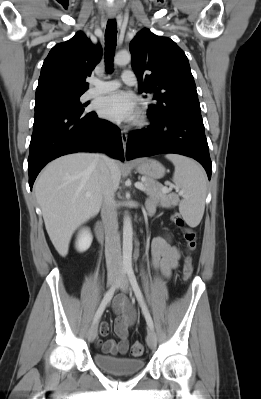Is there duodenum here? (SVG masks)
<instances>
[{"label":"duodenum","instance_id":"1","mask_svg":"<svg viewBox=\"0 0 261 399\" xmlns=\"http://www.w3.org/2000/svg\"><path fill=\"white\" fill-rule=\"evenodd\" d=\"M153 211L147 210V214L150 215ZM95 234L99 242H102L104 239V225L103 223L99 222L95 226Z\"/></svg>","mask_w":261,"mask_h":399}]
</instances>
